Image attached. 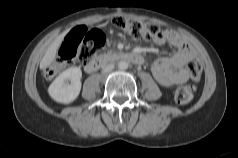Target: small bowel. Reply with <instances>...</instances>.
<instances>
[{
  "instance_id": "small-bowel-1",
  "label": "small bowel",
  "mask_w": 238,
  "mask_h": 158,
  "mask_svg": "<svg viewBox=\"0 0 238 158\" xmlns=\"http://www.w3.org/2000/svg\"><path fill=\"white\" fill-rule=\"evenodd\" d=\"M154 42L158 45L168 43L176 48L171 56L161 57L153 62L151 72L155 79L165 87L185 83L189 79L185 64L195 56V50L179 34L171 30H165Z\"/></svg>"
}]
</instances>
